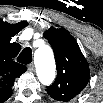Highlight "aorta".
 <instances>
[{"mask_svg":"<svg viewBox=\"0 0 103 103\" xmlns=\"http://www.w3.org/2000/svg\"><path fill=\"white\" fill-rule=\"evenodd\" d=\"M34 63L38 79L44 85L53 82L56 75V65L51 47L43 44L34 53Z\"/></svg>","mask_w":103,"mask_h":103,"instance_id":"762f6f07","label":"aorta"}]
</instances>
